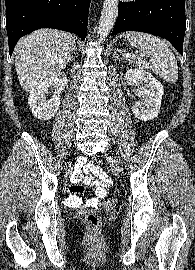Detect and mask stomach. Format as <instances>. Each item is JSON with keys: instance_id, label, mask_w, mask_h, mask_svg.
<instances>
[{"instance_id": "0dacf381", "label": "stomach", "mask_w": 195, "mask_h": 270, "mask_svg": "<svg viewBox=\"0 0 195 270\" xmlns=\"http://www.w3.org/2000/svg\"><path fill=\"white\" fill-rule=\"evenodd\" d=\"M129 42H131L132 44H134V42L133 41H131V40H128Z\"/></svg>"}]
</instances>
